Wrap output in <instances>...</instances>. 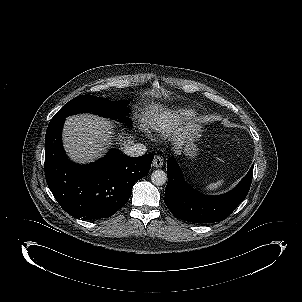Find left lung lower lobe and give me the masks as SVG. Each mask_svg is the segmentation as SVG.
I'll use <instances>...</instances> for the list:
<instances>
[{
    "label": "left lung lower lobe",
    "mask_w": 302,
    "mask_h": 302,
    "mask_svg": "<svg viewBox=\"0 0 302 302\" xmlns=\"http://www.w3.org/2000/svg\"><path fill=\"white\" fill-rule=\"evenodd\" d=\"M168 183L164 202L178 219L212 223L227 218L247 196L253 176V166L230 192L219 196L204 195L188 185L173 158L167 162Z\"/></svg>",
    "instance_id": "obj_1"
}]
</instances>
